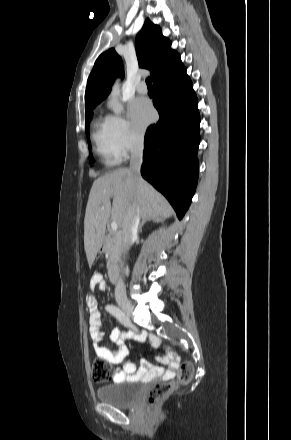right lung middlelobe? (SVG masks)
<instances>
[{
  "mask_svg": "<svg viewBox=\"0 0 291 440\" xmlns=\"http://www.w3.org/2000/svg\"><path fill=\"white\" fill-rule=\"evenodd\" d=\"M92 115H93V112L91 110L86 112L85 127H86V134H87V136L89 135V122L92 119ZM88 146H89V149H90V147H91L90 146V142H88ZM89 160L90 161L93 160L91 155L89 156Z\"/></svg>",
  "mask_w": 291,
  "mask_h": 440,
  "instance_id": "obj_1",
  "label": "right lung middle lobe"
}]
</instances>
